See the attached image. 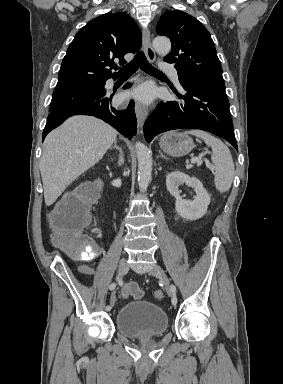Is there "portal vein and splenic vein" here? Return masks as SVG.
Here are the masks:
<instances>
[{"label": "portal vein and splenic vein", "mask_w": 283, "mask_h": 384, "mask_svg": "<svg viewBox=\"0 0 283 384\" xmlns=\"http://www.w3.org/2000/svg\"><path fill=\"white\" fill-rule=\"evenodd\" d=\"M195 162H197V166H201V164H202L200 158H192L191 164H195ZM205 164H206L207 168H209V170H213L214 166H211L209 160H205Z\"/></svg>", "instance_id": "1"}]
</instances>
